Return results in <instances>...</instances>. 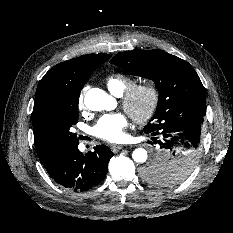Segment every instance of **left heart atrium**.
Returning <instances> with one entry per match:
<instances>
[{
	"instance_id": "obj_1",
	"label": "left heart atrium",
	"mask_w": 233,
	"mask_h": 233,
	"mask_svg": "<svg viewBox=\"0 0 233 233\" xmlns=\"http://www.w3.org/2000/svg\"><path fill=\"white\" fill-rule=\"evenodd\" d=\"M127 125L128 120L123 113L107 114L96 122L92 128V133L109 142H120L126 136Z\"/></svg>"
}]
</instances>
